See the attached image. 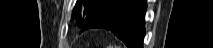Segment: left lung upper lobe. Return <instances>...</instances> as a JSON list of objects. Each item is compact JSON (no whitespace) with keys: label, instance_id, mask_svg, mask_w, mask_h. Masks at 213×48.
Masks as SVG:
<instances>
[{"label":"left lung upper lobe","instance_id":"1","mask_svg":"<svg viewBox=\"0 0 213 48\" xmlns=\"http://www.w3.org/2000/svg\"><path fill=\"white\" fill-rule=\"evenodd\" d=\"M112 1L113 0H77L72 17H74L78 25L83 28L98 10Z\"/></svg>","mask_w":213,"mask_h":48}]
</instances>
